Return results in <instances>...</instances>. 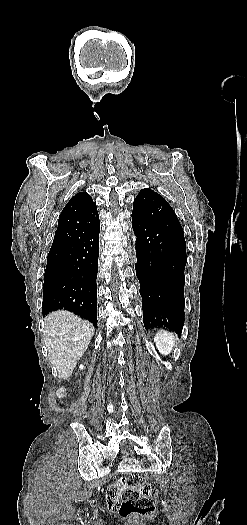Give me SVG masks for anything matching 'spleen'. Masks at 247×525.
<instances>
[{"mask_svg": "<svg viewBox=\"0 0 247 525\" xmlns=\"http://www.w3.org/2000/svg\"><path fill=\"white\" fill-rule=\"evenodd\" d=\"M176 341V335H174V333H168V331H158L154 337L156 349H158L160 355H165V357L172 353Z\"/></svg>", "mask_w": 247, "mask_h": 525, "instance_id": "obj_1", "label": "spleen"}]
</instances>
